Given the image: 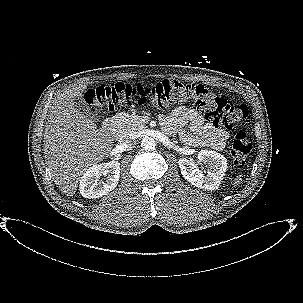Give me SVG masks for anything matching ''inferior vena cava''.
<instances>
[{"label": "inferior vena cava", "mask_w": 303, "mask_h": 303, "mask_svg": "<svg viewBox=\"0 0 303 303\" xmlns=\"http://www.w3.org/2000/svg\"><path fill=\"white\" fill-rule=\"evenodd\" d=\"M121 142L123 145H125L127 150H131L133 148L134 143L132 137L128 135L121 136Z\"/></svg>", "instance_id": "inferior-vena-cava-1"}]
</instances>
